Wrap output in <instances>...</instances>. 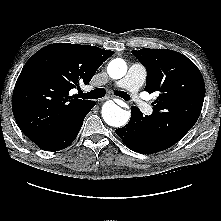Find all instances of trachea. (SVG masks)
Instances as JSON below:
<instances>
[{
  "label": "trachea",
  "instance_id": "1",
  "mask_svg": "<svg viewBox=\"0 0 221 221\" xmlns=\"http://www.w3.org/2000/svg\"><path fill=\"white\" fill-rule=\"evenodd\" d=\"M105 94H106V92L103 88H97V89H94V90H92L88 93L81 92L79 94V97H81L83 99H98V98L104 97ZM114 94L116 96H119V97L123 98L126 101L130 100V95H128L124 91H115Z\"/></svg>",
  "mask_w": 221,
  "mask_h": 221
}]
</instances>
